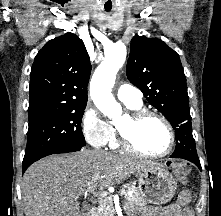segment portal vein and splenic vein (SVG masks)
Segmentation results:
<instances>
[{"label":"portal vein and splenic vein","instance_id":"portal-vein-and-splenic-vein-1","mask_svg":"<svg viewBox=\"0 0 221 216\" xmlns=\"http://www.w3.org/2000/svg\"><path fill=\"white\" fill-rule=\"evenodd\" d=\"M93 191H94L93 189H88V190L85 192V194H87V193H92ZM119 193H120V195H123V194L125 193V189H121ZM128 194L131 195V194H132V191L128 192ZM98 196H99V197H102V198H106V197H108V193H106V192H101V193H99ZM108 198H109V197H108Z\"/></svg>","mask_w":221,"mask_h":216}]
</instances>
